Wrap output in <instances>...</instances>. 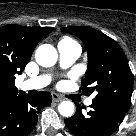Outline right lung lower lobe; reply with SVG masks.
Returning <instances> with one entry per match:
<instances>
[{
  "label": "right lung lower lobe",
  "instance_id": "1",
  "mask_svg": "<svg viewBox=\"0 0 136 136\" xmlns=\"http://www.w3.org/2000/svg\"><path fill=\"white\" fill-rule=\"evenodd\" d=\"M52 102L49 92L31 97L22 92L0 102V136H27L37 123V113Z\"/></svg>",
  "mask_w": 136,
  "mask_h": 136
}]
</instances>
